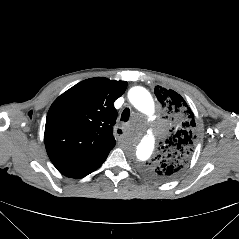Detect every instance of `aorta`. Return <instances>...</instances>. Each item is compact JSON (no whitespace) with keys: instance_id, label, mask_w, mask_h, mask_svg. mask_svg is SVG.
I'll list each match as a JSON object with an SVG mask.
<instances>
[{"instance_id":"aorta-1","label":"aorta","mask_w":239,"mask_h":239,"mask_svg":"<svg viewBox=\"0 0 239 239\" xmlns=\"http://www.w3.org/2000/svg\"><path fill=\"white\" fill-rule=\"evenodd\" d=\"M128 98L131 104L145 115H152L154 111V102L150 93L143 87H133L128 92ZM156 139L154 135L147 133L143 135L136 148L138 162L146 161L152 154Z\"/></svg>"}]
</instances>
